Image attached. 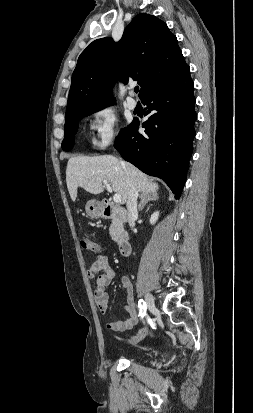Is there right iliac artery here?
<instances>
[{
  "label": "right iliac artery",
  "mask_w": 253,
  "mask_h": 413,
  "mask_svg": "<svg viewBox=\"0 0 253 413\" xmlns=\"http://www.w3.org/2000/svg\"><path fill=\"white\" fill-rule=\"evenodd\" d=\"M138 307H139V316L143 318L146 314V303L142 299L139 300L138 302Z\"/></svg>",
  "instance_id": "1"
}]
</instances>
